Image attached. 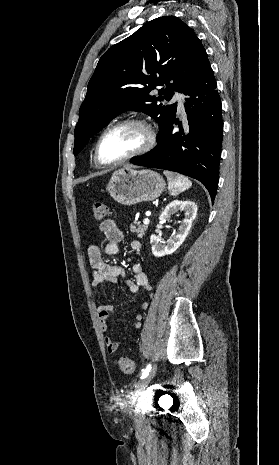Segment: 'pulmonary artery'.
<instances>
[{"label": "pulmonary artery", "mask_w": 279, "mask_h": 465, "mask_svg": "<svg viewBox=\"0 0 279 465\" xmlns=\"http://www.w3.org/2000/svg\"><path fill=\"white\" fill-rule=\"evenodd\" d=\"M173 101H174V102H177L178 110H179L181 113H184V100H183L182 96L179 95V94H176V95L173 97Z\"/></svg>", "instance_id": "pulmonary-artery-1"}]
</instances>
